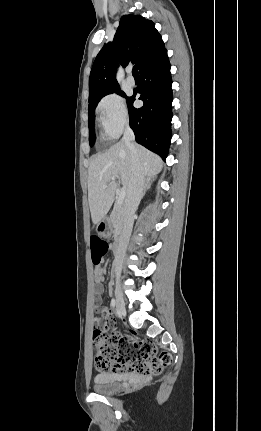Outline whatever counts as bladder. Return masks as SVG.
<instances>
[{
  "instance_id": "bladder-1",
  "label": "bladder",
  "mask_w": 261,
  "mask_h": 431,
  "mask_svg": "<svg viewBox=\"0 0 261 431\" xmlns=\"http://www.w3.org/2000/svg\"><path fill=\"white\" fill-rule=\"evenodd\" d=\"M123 376L101 372L94 377L93 389L100 394H111L122 388Z\"/></svg>"
}]
</instances>
